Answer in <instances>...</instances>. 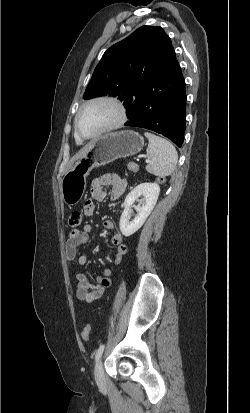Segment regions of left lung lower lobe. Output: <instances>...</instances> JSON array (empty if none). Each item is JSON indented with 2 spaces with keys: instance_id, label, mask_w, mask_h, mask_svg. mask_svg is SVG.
Returning a JSON list of instances; mask_svg holds the SVG:
<instances>
[{
  "instance_id": "0a47b994",
  "label": "left lung lower lobe",
  "mask_w": 250,
  "mask_h": 413,
  "mask_svg": "<svg viewBox=\"0 0 250 413\" xmlns=\"http://www.w3.org/2000/svg\"><path fill=\"white\" fill-rule=\"evenodd\" d=\"M133 102L126 105V126L142 127L162 134L182 146L185 132L186 89L174 49L160 75L144 80Z\"/></svg>"
}]
</instances>
